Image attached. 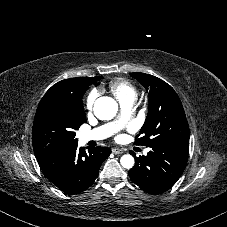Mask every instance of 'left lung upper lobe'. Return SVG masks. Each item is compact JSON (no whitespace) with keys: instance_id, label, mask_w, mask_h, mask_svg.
I'll return each mask as SVG.
<instances>
[{"instance_id":"1","label":"left lung upper lobe","mask_w":227,"mask_h":227,"mask_svg":"<svg viewBox=\"0 0 227 227\" xmlns=\"http://www.w3.org/2000/svg\"><path fill=\"white\" fill-rule=\"evenodd\" d=\"M149 93V112L137 145L188 141L189 126L182 103L174 89L163 80L145 73H130ZM140 136V137H139Z\"/></svg>"}]
</instances>
